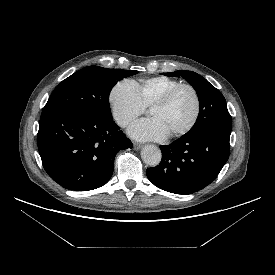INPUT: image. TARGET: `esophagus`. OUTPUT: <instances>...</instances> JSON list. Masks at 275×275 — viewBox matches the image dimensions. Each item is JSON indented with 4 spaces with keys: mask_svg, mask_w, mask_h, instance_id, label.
<instances>
[{
    "mask_svg": "<svg viewBox=\"0 0 275 275\" xmlns=\"http://www.w3.org/2000/svg\"><path fill=\"white\" fill-rule=\"evenodd\" d=\"M133 146H134V149H135V150H139V149H141V147H142V145H141V144H138V143H134Z\"/></svg>",
    "mask_w": 275,
    "mask_h": 275,
    "instance_id": "obj_1",
    "label": "esophagus"
}]
</instances>
